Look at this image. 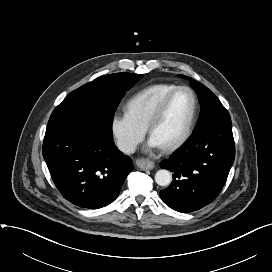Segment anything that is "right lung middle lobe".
Listing matches in <instances>:
<instances>
[{"mask_svg":"<svg viewBox=\"0 0 272 272\" xmlns=\"http://www.w3.org/2000/svg\"><path fill=\"white\" fill-rule=\"evenodd\" d=\"M142 77L136 73H116L79 87L54 109L46 131L69 124H87L113 137L112 122L117 106L125 91Z\"/></svg>","mask_w":272,"mask_h":272,"instance_id":"dd1d6c3e","label":"right lung middle lobe"}]
</instances>
